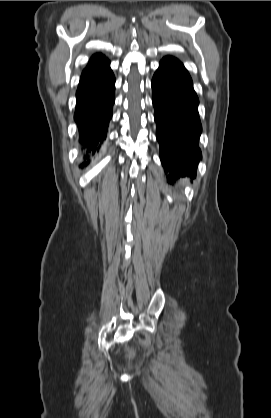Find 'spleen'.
<instances>
[{
	"instance_id": "spleen-1",
	"label": "spleen",
	"mask_w": 271,
	"mask_h": 418,
	"mask_svg": "<svg viewBox=\"0 0 271 418\" xmlns=\"http://www.w3.org/2000/svg\"><path fill=\"white\" fill-rule=\"evenodd\" d=\"M182 183L186 182V180L181 181Z\"/></svg>"
}]
</instances>
